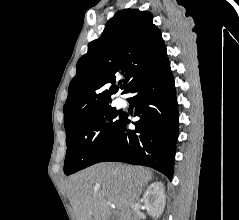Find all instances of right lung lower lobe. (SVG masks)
<instances>
[{"instance_id":"1","label":"right lung lower lobe","mask_w":239,"mask_h":220,"mask_svg":"<svg viewBox=\"0 0 239 220\" xmlns=\"http://www.w3.org/2000/svg\"><path fill=\"white\" fill-rule=\"evenodd\" d=\"M128 93L135 107V130H130L128 115L111 143L95 163L125 162L152 167L170 180L173 177L175 147L178 138L179 116L175 84L169 61L141 78Z\"/></svg>"}]
</instances>
